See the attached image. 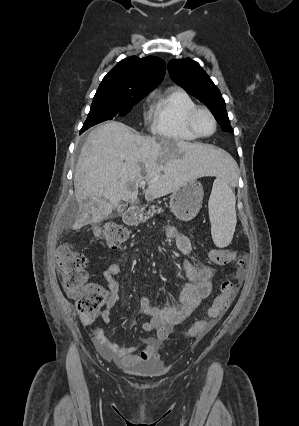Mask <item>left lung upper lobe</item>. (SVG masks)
Returning a JSON list of instances; mask_svg holds the SVG:
<instances>
[{"label": "left lung upper lobe", "instance_id": "left-lung-upper-lobe-1", "mask_svg": "<svg viewBox=\"0 0 299 426\" xmlns=\"http://www.w3.org/2000/svg\"><path fill=\"white\" fill-rule=\"evenodd\" d=\"M168 71L175 83L209 107L225 131L233 132L220 91L197 62L190 59L171 60Z\"/></svg>", "mask_w": 299, "mask_h": 426}]
</instances>
